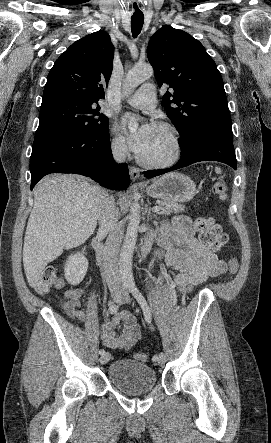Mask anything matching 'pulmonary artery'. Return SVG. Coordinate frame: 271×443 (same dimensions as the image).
Masks as SVG:
<instances>
[{
	"label": "pulmonary artery",
	"instance_id": "1",
	"mask_svg": "<svg viewBox=\"0 0 271 443\" xmlns=\"http://www.w3.org/2000/svg\"><path fill=\"white\" fill-rule=\"evenodd\" d=\"M136 108L151 109L156 105V90L152 84L142 85L133 95L126 100Z\"/></svg>",
	"mask_w": 271,
	"mask_h": 443
}]
</instances>
